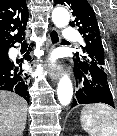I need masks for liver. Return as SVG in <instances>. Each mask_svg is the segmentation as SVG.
<instances>
[{"label":"liver","mask_w":117,"mask_h":136,"mask_svg":"<svg viewBox=\"0 0 117 136\" xmlns=\"http://www.w3.org/2000/svg\"><path fill=\"white\" fill-rule=\"evenodd\" d=\"M27 120V102L8 91H0V136H22Z\"/></svg>","instance_id":"obj_1"}]
</instances>
